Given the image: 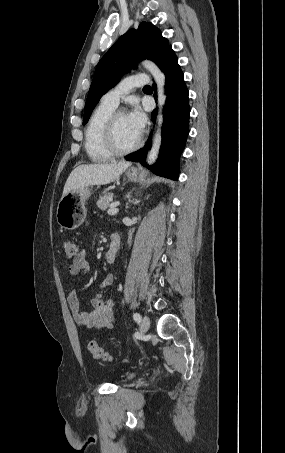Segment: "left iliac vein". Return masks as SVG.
Masks as SVG:
<instances>
[{"label":"left iliac vein","instance_id":"1","mask_svg":"<svg viewBox=\"0 0 285 453\" xmlns=\"http://www.w3.org/2000/svg\"><path fill=\"white\" fill-rule=\"evenodd\" d=\"M150 327V319L147 315H144L141 320L140 329L142 333H146Z\"/></svg>","mask_w":285,"mask_h":453}]
</instances>
